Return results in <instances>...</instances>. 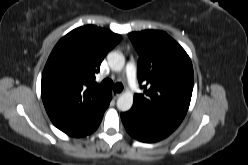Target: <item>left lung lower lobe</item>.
<instances>
[{"instance_id":"left-lung-lower-lobe-1","label":"left lung lower lobe","mask_w":248,"mask_h":165,"mask_svg":"<svg viewBox=\"0 0 248 165\" xmlns=\"http://www.w3.org/2000/svg\"><path fill=\"white\" fill-rule=\"evenodd\" d=\"M121 119L127 132L133 138L147 143L164 139L179 126L134 107L128 112L121 113Z\"/></svg>"}]
</instances>
